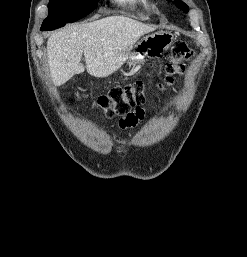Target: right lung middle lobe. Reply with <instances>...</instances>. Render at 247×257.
<instances>
[{
  "instance_id": "obj_1",
  "label": "right lung middle lobe",
  "mask_w": 247,
  "mask_h": 257,
  "mask_svg": "<svg viewBox=\"0 0 247 257\" xmlns=\"http://www.w3.org/2000/svg\"><path fill=\"white\" fill-rule=\"evenodd\" d=\"M99 0H50L49 14L42 26L53 29L75 22L91 13Z\"/></svg>"
}]
</instances>
